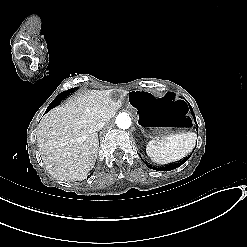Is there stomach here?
<instances>
[{"label": "stomach", "instance_id": "0dacf381", "mask_svg": "<svg viewBox=\"0 0 247 247\" xmlns=\"http://www.w3.org/2000/svg\"><path fill=\"white\" fill-rule=\"evenodd\" d=\"M128 101L147 137L164 139L186 133L192 125L186 102L174 93L157 95L147 90H135L129 92Z\"/></svg>", "mask_w": 247, "mask_h": 247}]
</instances>
